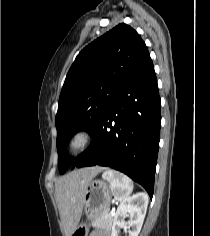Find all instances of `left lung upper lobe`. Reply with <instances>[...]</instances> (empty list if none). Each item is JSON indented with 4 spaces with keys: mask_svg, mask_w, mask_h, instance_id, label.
<instances>
[{
    "mask_svg": "<svg viewBox=\"0 0 210 236\" xmlns=\"http://www.w3.org/2000/svg\"><path fill=\"white\" fill-rule=\"evenodd\" d=\"M151 61L140 35L122 23L86 46L72 64L55 118L60 173L72 163L65 155L80 130L93 133L119 92Z\"/></svg>",
    "mask_w": 210,
    "mask_h": 236,
    "instance_id": "5c2ea615",
    "label": "left lung upper lobe"
}]
</instances>
